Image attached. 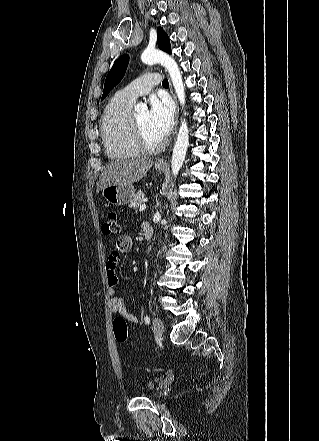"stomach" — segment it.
Segmentation results:
<instances>
[{
	"mask_svg": "<svg viewBox=\"0 0 319 441\" xmlns=\"http://www.w3.org/2000/svg\"><path fill=\"white\" fill-rule=\"evenodd\" d=\"M158 172L164 170L163 167L155 166ZM135 195V188L132 184H113L102 189V196L106 202L112 205H125L132 201Z\"/></svg>",
	"mask_w": 319,
	"mask_h": 441,
	"instance_id": "obj_1",
	"label": "stomach"
}]
</instances>
